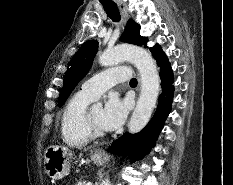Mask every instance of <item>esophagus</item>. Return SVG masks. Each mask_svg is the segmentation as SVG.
I'll list each match as a JSON object with an SVG mask.
<instances>
[{
    "label": "esophagus",
    "mask_w": 233,
    "mask_h": 185,
    "mask_svg": "<svg viewBox=\"0 0 233 185\" xmlns=\"http://www.w3.org/2000/svg\"><path fill=\"white\" fill-rule=\"evenodd\" d=\"M118 6H119V10H120V13H121L122 17H123L124 21L126 22L129 19L128 11H127L126 7L123 4L120 3V4H118ZM138 81H139V84H140L139 75H138ZM99 154H103V152L100 151Z\"/></svg>",
    "instance_id": "1"
}]
</instances>
